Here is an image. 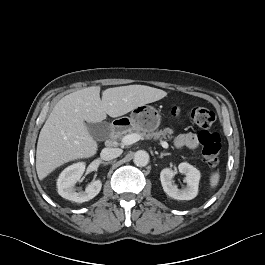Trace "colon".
Here are the masks:
<instances>
[{
  "label": "colon",
  "mask_w": 265,
  "mask_h": 265,
  "mask_svg": "<svg viewBox=\"0 0 265 265\" xmlns=\"http://www.w3.org/2000/svg\"><path fill=\"white\" fill-rule=\"evenodd\" d=\"M172 115H188L192 119L200 129L198 141L201 145L202 156L209 167H216L219 162L221 138L218 133L209 130L215 122V113L206 107H195L190 110L173 108Z\"/></svg>",
  "instance_id": "colon-1"
}]
</instances>
